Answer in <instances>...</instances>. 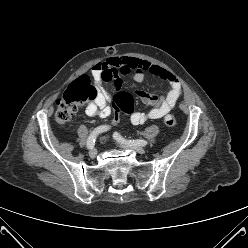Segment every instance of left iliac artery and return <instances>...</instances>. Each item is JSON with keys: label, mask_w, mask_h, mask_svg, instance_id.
Returning <instances> with one entry per match:
<instances>
[{"label": "left iliac artery", "mask_w": 248, "mask_h": 248, "mask_svg": "<svg viewBox=\"0 0 248 248\" xmlns=\"http://www.w3.org/2000/svg\"><path fill=\"white\" fill-rule=\"evenodd\" d=\"M113 137L121 142V143H126V144H129V145H137V146H146L147 145V141L144 140V139H137V140H127L125 138H123L118 132H115L113 134Z\"/></svg>", "instance_id": "left-iliac-artery-1"}]
</instances>
